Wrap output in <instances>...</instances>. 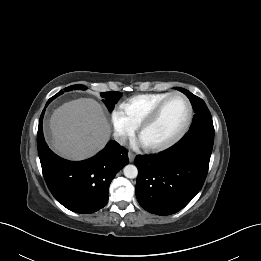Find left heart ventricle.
<instances>
[{
  "instance_id": "1",
  "label": "left heart ventricle",
  "mask_w": 261,
  "mask_h": 261,
  "mask_svg": "<svg viewBox=\"0 0 261 261\" xmlns=\"http://www.w3.org/2000/svg\"><path fill=\"white\" fill-rule=\"evenodd\" d=\"M187 117V106L180 97L171 98L162 108L157 119L143 131V144H158L174 137L183 127Z\"/></svg>"
}]
</instances>
